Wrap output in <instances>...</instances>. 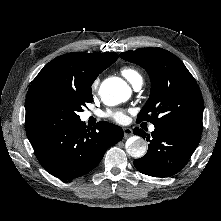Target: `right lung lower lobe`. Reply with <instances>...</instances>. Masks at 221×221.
<instances>
[{"label": "right lung lower lobe", "mask_w": 221, "mask_h": 221, "mask_svg": "<svg viewBox=\"0 0 221 221\" xmlns=\"http://www.w3.org/2000/svg\"><path fill=\"white\" fill-rule=\"evenodd\" d=\"M27 137L43 168L69 180L94 169L106 150L123 138L121 127L100 121L93 128L82 121L26 127Z\"/></svg>", "instance_id": "98d812e1"}]
</instances>
